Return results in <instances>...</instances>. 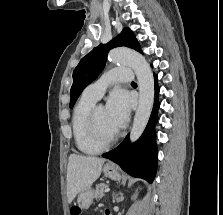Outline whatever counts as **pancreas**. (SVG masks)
Instances as JSON below:
<instances>
[{
	"instance_id": "cf45deb5",
	"label": "pancreas",
	"mask_w": 223,
	"mask_h": 215,
	"mask_svg": "<svg viewBox=\"0 0 223 215\" xmlns=\"http://www.w3.org/2000/svg\"><path fill=\"white\" fill-rule=\"evenodd\" d=\"M107 186L108 185H106V183H97L94 194L96 196V199H101V197H103L104 195L103 191Z\"/></svg>"
}]
</instances>
